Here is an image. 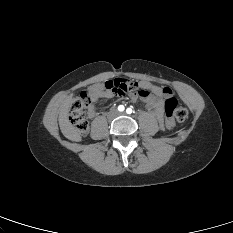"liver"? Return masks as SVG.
<instances>
[{"label":"liver","instance_id":"obj_1","mask_svg":"<svg viewBox=\"0 0 233 233\" xmlns=\"http://www.w3.org/2000/svg\"><path fill=\"white\" fill-rule=\"evenodd\" d=\"M72 104V95L67 96L60 104L59 108V127L62 132V134L65 137H70L73 133V126L71 125L68 115H69V109Z\"/></svg>","mask_w":233,"mask_h":233}]
</instances>
